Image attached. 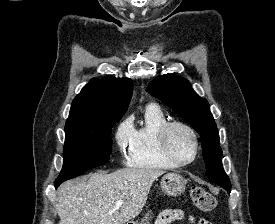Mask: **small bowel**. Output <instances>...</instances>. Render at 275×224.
Wrapping results in <instances>:
<instances>
[{
	"label": "small bowel",
	"instance_id": "small-bowel-1",
	"mask_svg": "<svg viewBox=\"0 0 275 224\" xmlns=\"http://www.w3.org/2000/svg\"><path fill=\"white\" fill-rule=\"evenodd\" d=\"M187 221L189 224H211L207 219H196L178 209H165L157 217L155 224H172L175 221Z\"/></svg>",
	"mask_w": 275,
	"mask_h": 224
}]
</instances>
